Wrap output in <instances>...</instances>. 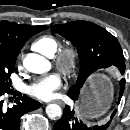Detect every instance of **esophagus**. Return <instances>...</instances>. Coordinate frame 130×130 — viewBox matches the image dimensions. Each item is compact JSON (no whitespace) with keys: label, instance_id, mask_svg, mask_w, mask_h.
<instances>
[{"label":"esophagus","instance_id":"obj_1","mask_svg":"<svg viewBox=\"0 0 130 130\" xmlns=\"http://www.w3.org/2000/svg\"><path fill=\"white\" fill-rule=\"evenodd\" d=\"M53 102H55V103H57V104H59V105H63V102H62L61 100H55V101H53Z\"/></svg>","mask_w":130,"mask_h":130}]
</instances>
